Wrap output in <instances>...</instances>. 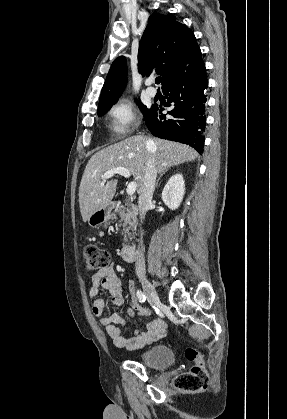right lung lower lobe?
<instances>
[{
	"mask_svg": "<svg viewBox=\"0 0 287 419\" xmlns=\"http://www.w3.org/2000/svg\"><path fill=\"white\" fill-rule=\"evenodd\" d=\"M207 89L205 68L162 87L168 99L165 107L173 108L162 114L164 107L153 105L145 119L149 131L156 137L187 144L203 153Z\"/></svg>",
	"mask_w": 287,
	"mask_h": 419,
	"instance_id": "98d812e1",
	"label": "right lung lower lobe"
}]
</instances>
